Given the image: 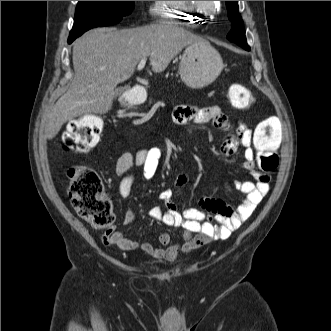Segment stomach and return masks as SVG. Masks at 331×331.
Returning a JSON list of instances; mask_svg holds the SVG:
<instances>
[{
  "label": "stomach",
  "instance_id": "obj_1",
  "mask_svg": "<svg viewBox=\"0 0 331 331\" xmlns=\"http://www.w3.org/2000/svg\"><path fill=\"white\" fill-rule=\"evenodd\" d=\"M223 69L218 51L206 40L189 44L179 64L181 80L191 88H202L212 83Z\"/></svg>",
  "mask_w": 331,
  "mask_h": 331
}]
</instances>
